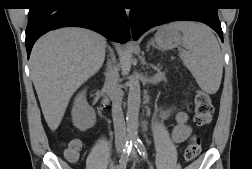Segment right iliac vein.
<instances>
[{
  "mask_svg": "<svg viewBox=\"0 0 252 169\" xmlns=\"http://www.w3.org/2000/svg\"><path fill=\"white\" fill-rule=\"evenodd\" d=\"M123 147H124V145H123V144H118V145L116 146L117 151H118V152H121V151H122V149H123Z\"/></svg>",
  "mask_w": 252,
  "mask_h": 169,
  "instance_id": "right-iliac-vein-1",
  "label": "right iliac vein"
}]
</instances>
